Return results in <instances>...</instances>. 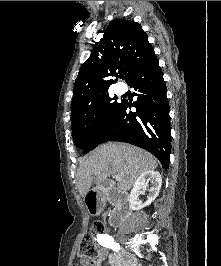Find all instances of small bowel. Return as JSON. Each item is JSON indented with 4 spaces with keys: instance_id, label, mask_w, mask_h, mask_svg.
Wrapping results in <instances>:
<instances>
[{
    "instance_id": "c3829d8e",
    "label": "small bowel",
    "mask_w": 221,
    "mask_h": 266,
    "mask_svg": "<svg viewBox=\"0 0 221 266\" xmlns=\"http://www.w3.org/2000/svg\"><path fill=\"white\" fill-rule=\"evenodd\" d=\"M99 235L101 234H98L97 237ZM103 247H99L97 251V257L93 261H81L80 265L74 264L73 266H102L103 261L108 257V251ZM109 260L113 266H136V263L134 260L125 259L118 254L109 255Z\"/></svg>"
}]
</instances>
